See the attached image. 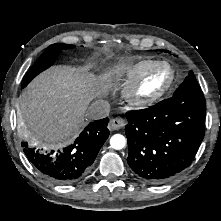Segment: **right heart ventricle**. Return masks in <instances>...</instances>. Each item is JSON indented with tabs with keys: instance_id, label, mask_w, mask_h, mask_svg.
Masks as SVG:
<instances>
[{
	"instance_id": "right-heart-ventricle-1",
	"label": "right heart ventricle",
	"mask_w": 221,
	"mask_h": 221,
	"mask_svg": "<svg viewBox=\"0 0 221 221\" xmlns=\"http://www.w3.org/2000/svg\"><path fill=\"white\" fill-rule=\"evenodd\" d=\"M154 62L153 60L145 59L132 64L120 65L114 71V78L122 84H129Z\"/></svg>"
}]
</instances>
